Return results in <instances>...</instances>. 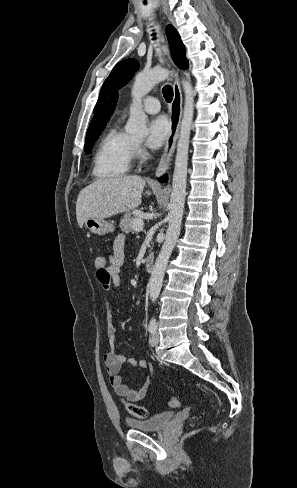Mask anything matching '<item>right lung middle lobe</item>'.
<instances>
[{
    "label": "right lung middle lobe",
    "instance_id": "1",
    "mask_svg": "<svg viewBox=\"0 0 297 488\" xmlns=\"http://www.w3.org/2000/svg\"><path fill=\"white\" fill-rule=\"evenodd\" d=\"M104 127H105V125L100 126L91 135H89V136L86 137V143H85L84 149H85V152L87 154H90L91 153L92 146H93L95 140L101 134V132H102V130H103Z\"/></svg>",
    "mask_w": 297,
    "mask_h": 488
}]
</instances>
